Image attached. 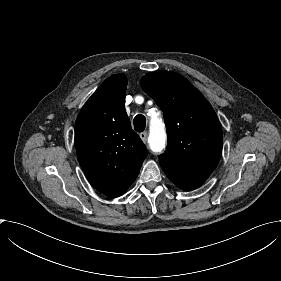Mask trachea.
Masks as SVG:
<instances>
[{
    "label": "trachea",
    "mask_w": 281,
    "mask_h": 281,
    "mask_svg": "<svg viewBox=\"0 0 281 281\" xmlns=\"http://www.w3.org/2000/svg\"><path fill=\"white\" fill-rule=\"evenodd\" d=\"M133 125L135 128V131H137V132L144 131V129L146 127V118L142 114H138L133 119Z\"/></svg>",
    "instance_id": "obj_1"
}]
</instances>
